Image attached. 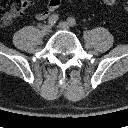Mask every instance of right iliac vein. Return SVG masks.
I'll return each instance as SVG.
<instances>
[{"label": "right iliac vein", "instance_id": "obj_1", "mask_svg": "<svg viewBox=\"0 0 128 128\" xmlns=\"http://www.w3.org/2000/svg\"><path fill=\"white\" fill-rule=\"evenodd\" d=\"M51 29H52V27H51L50 25H44L42 31H43L45 34H48V33L51 32Z\"/></svg>", "mask_w": 128, "mask_h": 128}]
</instances>
